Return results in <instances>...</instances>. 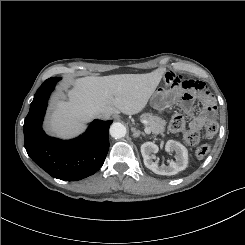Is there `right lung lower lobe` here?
I'll return each instance as SVG.
<instances>
[{"label": "right lung lower lobe", "mask_w": 245, "mask_h": 245, "mask_svg": "<svg viewBox=\"0 0 245 245\" xmlns=\"http://www.w3.org/2000/svg\"><path fill=\"white\" fill-rule=\"evenodd\" d=\"M59 77L47 79L37 90L24 121L25 148L32 160L54 178L76 181L97 172L109 149L112 121L94 120L72 140L49 137L42 129L47 102Z\"/></svg>", "instance_id": "98d812e1"}]
</instances>
